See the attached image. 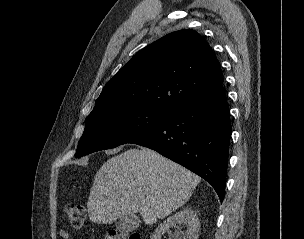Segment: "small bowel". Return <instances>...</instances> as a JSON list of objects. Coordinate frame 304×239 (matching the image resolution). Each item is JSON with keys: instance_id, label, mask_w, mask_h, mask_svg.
I'll return each instance as SVG.
<instances>
[{"instance_id": "c3829d8e", "label": "small bowel", "mask_w": 304, "mask_h": 239, "mask_svg": "<svg viewBox=\"0 0 304 239\" xmlns=\"http://www.w3.org/2000/svg\"><path fill=\"white\" fill-rule=\"evenodd\" d=\"M59 234L62 239H71L69 232L65 229H61Z\"/></svg>"}]
</instances>
